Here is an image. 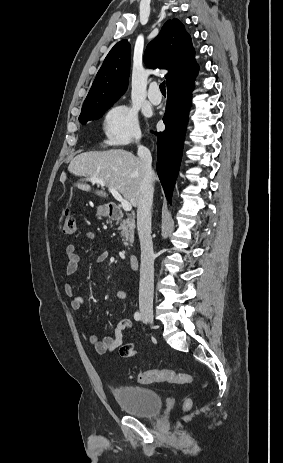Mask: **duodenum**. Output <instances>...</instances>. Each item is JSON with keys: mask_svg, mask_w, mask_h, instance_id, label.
<instances>
[{"mask_svg": "<svg viewBox=\"0 0 283 463\" xmlns=\"http://www.w3.org/2000/svg\"><path fill=\"white\" fill-rule=\"evenodd\" d=\"M108 215L113 220H120L123 217L122 209L113 203H109L107 205ZM129 263L132 269H137L139 265V258L137 255H130L129 256Z\"/></svg>", "mask_w": 283, "mask_h": 463, "instance_id": "1", "label": "duodenum"}]
</instances>
